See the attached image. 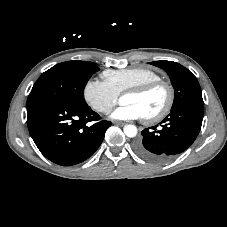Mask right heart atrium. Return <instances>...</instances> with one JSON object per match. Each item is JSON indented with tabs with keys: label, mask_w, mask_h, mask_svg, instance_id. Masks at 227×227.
<instances>
[{
	"label": "right heart atrium",
	"mask_w": 227,
	"mask_h": 227,
	"mask_svg": "<svg viewBox=\"0 0 227 227\" xmlns=\"http://www.w3.org/2000/svg\"><path fill=\"white\" fill-rule=\"evenodd\" d=\"M84 99L96 112L108 113L116 105L118 94L105 82L90 79L83 89Z\"/></svg>",
	"instance_id": "d8ad5b80"
}]
</instances>
